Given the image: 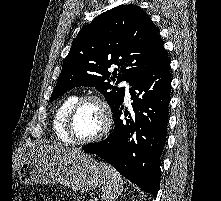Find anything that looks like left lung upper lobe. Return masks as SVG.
I'll list each match as a JSON object with an SVG mask.
<instances>
[{
	"mask_svg": "<svg viewBox=\"0 0 221 201\" xmlns=\"http://www.w3.org/2000/svg\"><path fill=\"white\" fill-rule=\"evenodd\" d=\"M166 54L158 28L136 5H121L97 16L84 26L64 60L50 102L76 86H94L112 112L124 98V88L111 82L126 80L132 85ZM111 65H118L113 73Z\"/></svg>",
	"mask_w": 221,
	"mask_h": 201,
	"instance_id": "5c2ea615",
	"label": "left lung upper lobe"
}]
</instances>
